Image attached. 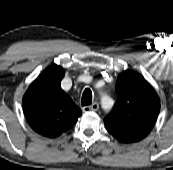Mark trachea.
<instances>
[{
	"label": "trachea",
	"instance_id": "trachea-1",
	"mask_svg": "<svg viewBox=\"0 0 173 170\" xmlns=\"http://www.w3.org/2000/svg\"><path fill=\"white\" fill-rule=\"evenodd\" d=\"M92 103V91L86 88L82 94L81 104L82 106H88Z\"/></svg>",
	"mask_w": 173,
	"mask_h": 170
}]
</instances>
